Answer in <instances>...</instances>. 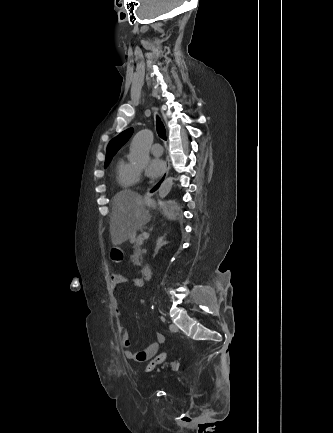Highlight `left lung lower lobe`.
<instances>
[{
    "mask_svg": "<svg viewBox=\"0 0 333 433\" xmlns=\"http://www.w3.org/2000/svg\"><path fill=\"white\" fill-rule=\"evenodd\" d=\"M177 208L173 202H170L167 207L168 215H173L176 212Z\"/></svg>",
    "mask_w": 333,
    "mask_h": 433,
    "instance_id": "0a47b994",
    "label": "left lung lower lobe"
}]
</instances>
